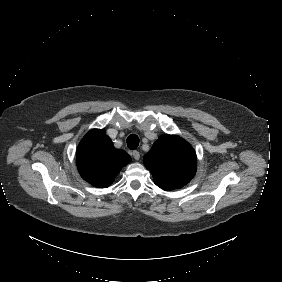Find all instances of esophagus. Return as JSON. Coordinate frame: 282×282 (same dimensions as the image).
Listing matches in <instances>:
<instances>
[{
  "instance_id": "esophagus-1",
  "label": "esophagus",
  "mask_w": 282,
  "mask_h": 282,
  "mask_svg": "<svg viewBox=\"0 0 282 282\" xmlns=\"http://www.w3.org/2000/svg\"><path fill=\"white\" fill-rule=\"evenodd\" d=\"M132 155H133V157H134L135 160L138 161V160L140 159V153H139L138 151H136V150L133 151V152H132Z\"/></svg>"
}]
</instances>
